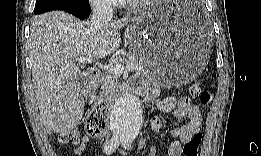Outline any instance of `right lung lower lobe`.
Wrapping results in <instances>:
<instances>
[{
	"label": "right lung lower lobe",
	"instance_id": "98d812e1",
	"mask_svg": "<svg viewBox=\"0 0 261 156\" xmlns=\"http://www.w3.org/2000/svg\"><path fill=\"white\" fill-rule=\"evenodd\" d=\"M64 11L71 13V14L75 15L76 17L84 19L90 15L91 7H90L89 3L82 2V3L75 5L74 7L65 9Z\"/></svg>",
	"mask_w": 261,
	"mask_h": 156
}]
</instances>
